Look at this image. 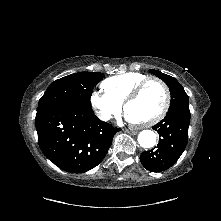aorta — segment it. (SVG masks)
Returning <instances> with one entry per match:
<instances>
[{"label":"aorta","instance_id":"aorta-1","mask_svg":"<svg viewBox=\"0 0 221 221\" xmlns=\"http://www.w3.org/2000/svg\"><path fill=\"white\" fill-rule=\"evenodd\" d=\"M138 143L143 148H152L156 144V134L152 130H143L139 133Z\"/></svg>","mask_w":221,"mask_h":221}]
</instances>
